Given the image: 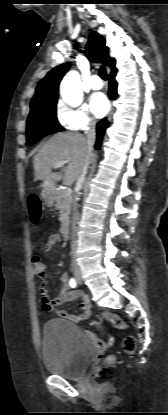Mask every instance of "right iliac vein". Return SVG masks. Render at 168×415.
Here are the masks:
<instances>
[{"mask_svg":"<svg viewBox=\"0 0 168 415\" xmlns=\"http://www.w3.org/2000/svg\"><path fill=\"white\" fill-rule=\"evenodd\" d=\"M78 276H79V273L76 274V277H78Z\"/></svg>","mask_w":168,"mask_h":415,"instance_id":"63e3f726","label":"right iliac vein"}]
</instances>
